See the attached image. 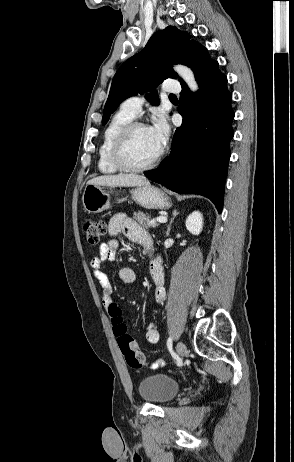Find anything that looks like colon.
Segmentation results:
<instances>
[{
	"mask_svg": "<svg viewBox=\"0 0 294 462\" xmlns=\"http://www.w3.org/2000/svg\"><path fill=\"white\" fill-rule=\"evenodd\" d=\"M106 228V222L103 219L85 218L82 221V229L90 245L99 243L101 237L106 233ZM107 311L113 325V333L117 338L118 345L125 356L127 364L134 370L142 369L146 364L145 357L138 349L134 339L127 333L121 310L113 302L108 306Z\"/></svg>",
	"mask_w": 294,
	"mask_h": 462,
	"instance_id": "1",
	"label": "colon"
}]
</instances>
